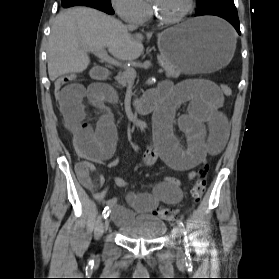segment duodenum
I'll list each match as a JSON object with an SVG mask.
<instances>
[{"label": "duodenum", "instance_id": "duodenum-1", "mask_svg": "<svg viewBox=\"0 0 279 279\" xmlns=\"http://www.w3.org/2000/svg\"><path fill=\"white\" fill-rule=\"evenodd\" d=\"M109 74V70L103 67H96L91 71L92 78L98 80H106ZM155 104H159V101L147 94L135 100L134 108L140 114H147L155 109Z\"/></svg>", "mask_w": 279, "mask_h": 279}]
</instances>
